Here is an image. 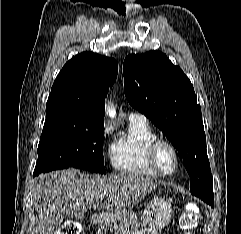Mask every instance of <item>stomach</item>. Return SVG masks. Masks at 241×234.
<instances>
[{"mask_svg": "<svg viewBox=\"0 0 241 234\" xmlns=\"http://www.w3.org/2000/svg\"><path fill=\"white\" fill-rule=\"evenodd\" d=\"M172 215L171 203L164 198L153 199L145 208L139 224L135 215L121 210L115 215L105 214L102 222H111L120 234H160Z\"/></svg>", "mask_w": 241, "mask_h": 234, "instance_id": "0dacf381", "label": "stomach"}]
</instances>
